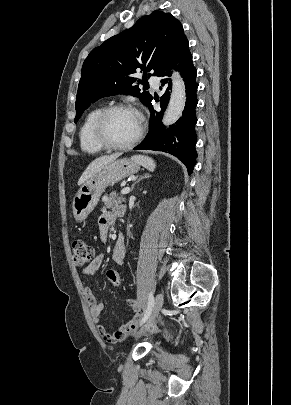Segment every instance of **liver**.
Instances as JSON below:
<instances>
[{
    "label": "liver",
    "instance_id": "obj_1",
    "mask_svg": "<svg viewBox=\"0 0 291 405\" xmlns=\"http://www.w3.org/2000/svg\"><path fill=\"white\" fill-rule=\"evenodd\" d=\"M119 156L120 154H113L110 156H102L95 159L83 172L82 176L78 181V185L80 186L84 184V182H86L89 178L98 173L105 165L116 160Z\"/></svg>",
    "mask_w": 291,
    "mask_h": 405
}]
</instances>
